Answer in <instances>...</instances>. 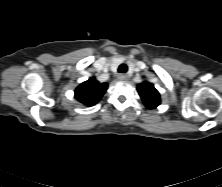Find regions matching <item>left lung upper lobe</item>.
<instances>
[{
  "label": "left lung upper lobe",
  "mask_w": 222,
  "mask_h": 187,
  "mask_svg": "<svg viewBox=\"0 0 222 187\" xmlns=\"http://www.w3.org/2000/svg\"><path fill=\"white\" fill-rule=\"evenodd\" d=\"M137 90L147 108L154 109L160 104V94L153 84L145 81L137 86Z\"/></svg>",
  "instance_id": "1"
}]
</instances>
